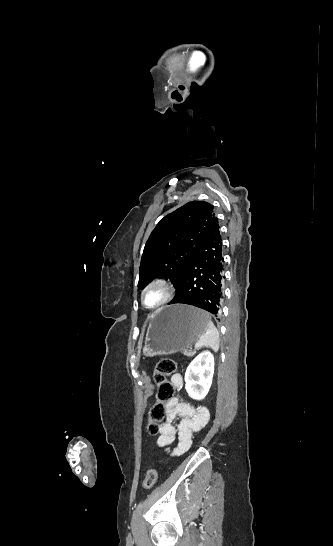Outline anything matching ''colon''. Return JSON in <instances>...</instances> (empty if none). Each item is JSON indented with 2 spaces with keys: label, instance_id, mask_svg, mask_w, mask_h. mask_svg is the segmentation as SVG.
<instances>
[{
  "label": "colon",
  "instance_id": "5ec220e1",
  "mask_svg": "<svg viewBox=\"0 0 333 546\" xmlns=\"http://www.w3.org/2000/svg\"><path fill=\"white\" fill-rule=\"evenodd\" d=\"M177 364L173 359L164 358L159 360L154 368L153 378L157 385L156 402L149 411L147 430L151 435L158 433L159 426L166 415V404L174 398L175 387L168 379L175 374ZM158 479V471L155 468L148 470L144 480L145 489L152 488Z\"/></svg>",
  "mask_w": 333,
  "mask_h": 546
}]
</instances>
